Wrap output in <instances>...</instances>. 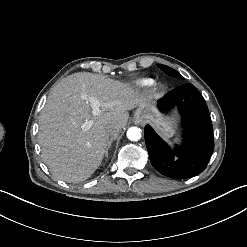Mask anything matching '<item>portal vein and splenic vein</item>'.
<instances>
[{"label":"portal vein and splenic vein","mask_w":247,"mask_h":247,"mask_svg":"<svg viewBox=\"0 0 247 247\" xmlns=\"http://www.w3.org/2000/svg\"><path fill=\"white\" fill-rule=\"evenodd\" d=\"M81 98L90 103L91 108H92V115L93 116H98L101 113V110H100L101 103H100V101H98L96 98L88 96V95H82ZM92 125H93V121L92 120H86L84 122V124L82 125V129H89V128L92 127Z\"/></svg>","instance_id":"portal-vein-and-splenic-vein-1"}]
</instances>
